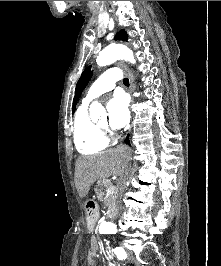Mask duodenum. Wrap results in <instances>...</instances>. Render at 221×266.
<instances>
[{
  "mask_svg": "<svg viewBox=\"0 0 221 266\" xmlns=\"http://www.w3.org/2000/svg\"><path fill=\"white\" fill-rule=\"evenodd\" d=\"M88 208V220H87V224H88V228H92L95 224V215H94V203L93 202H89L87 205ZM119 211L118 207H109V211L107 212L108 216H115L116 212Z\"/></svg>",
  "mask_w": 221,
  "mask_h": 266,
  "instance_id": "obj_1",
  "label": "duodenum"
}]
</instances>
